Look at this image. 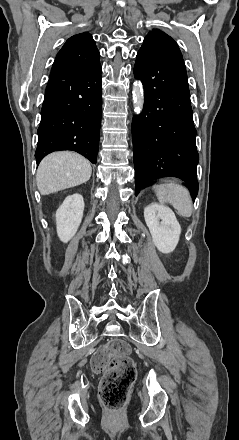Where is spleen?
Instances as JSON below:
<instances>
[{
	"label": "spleen",
	"instance_id": "spleen-1",
	"mask_svg": "<svg viewBox=\"0 0 239 440\" xmlns=\"http://www.w3.org/2000/svg\"><path fill=\"white\" fill-rule=\"evenodd\" d=\"M153 190L156 192L160 204H167L169 202L180 216L190 218L192 214V200L190 192L185 186H180L176 182H169V184L153 186Z\"/></svg>",
	"mask_w": 239,
	"mask_h": 440
}]
</instances>
